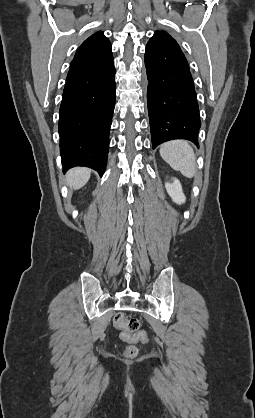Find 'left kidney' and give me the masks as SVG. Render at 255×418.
I'll return each mask as SVG.
<instances>
[{
  "label": "left kidney",
  "instance_id": "left-kidney-1",
  "mask_svg": "<svg viewBox=\"0 0 255 418\" xmlns=\"http://www.w3.org/2000/svg\"><path fill=\"white\" fill-rule=\"evenodd\" d=\"M166 190L172 200L177 204H182L185 202L186 198L182 190L181 183L178 179L172 178L169 182L165 184Z\"/></svg>",
  "mask_w": 255,
  "mask_h": 418
}]
</instances>
